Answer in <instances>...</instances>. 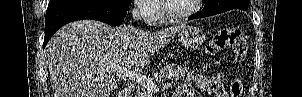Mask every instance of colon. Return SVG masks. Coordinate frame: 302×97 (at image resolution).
<instances>
[{
    "instance_id": "obj_1",
    "label": "colon",
    "mask_w": 302,
    "mask_h": 97,
    "mask_svg": "<svg viewBox=\"0 0 302 97\" xmlns=\"http://www.w3.org/2000/svg\"><path fill=\"white\" fill-rule=\"evenodd\" d=\"M227 48L232 49L238 62H242L246 58L248 44L238 28L225 27L218 30L206 46L209 54H215ZM241 95L242 83L239 79H234L230 86V96L240 97Z\"/></svg>"
}]
</instances>
